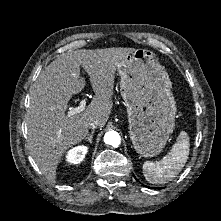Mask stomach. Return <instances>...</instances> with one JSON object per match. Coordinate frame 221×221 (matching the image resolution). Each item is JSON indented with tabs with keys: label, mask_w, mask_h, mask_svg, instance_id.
<instances>
[{
	"label": "stomach",
	"mask_w": 221,
	"mask_h": 221,
	"mask_svg": "<svg viewBox=\"0 0 221 221\" xmlns=\"http://www.w3.org/2000/svg\"><path fill=\"white\" fill-rule=\"evenodd\" d=\"M117 70L133 147L142 157H154L165 147L175 125L176 102L169 75L147 49H135Z\"/></svg>",
	"instance_id": "1"
}]
</instances>
